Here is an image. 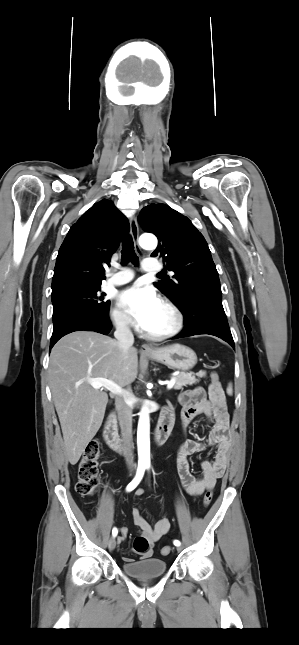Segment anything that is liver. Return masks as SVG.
I'll return each instance as SVG.
<instances>
[{"mask_svg":"<svg viewBox=\"0 0 299 645\" xmlns=\"http://www.w3.org/2000/svg\"><path fill=\"white\" fill-rule=\"evenodd\" d=\"M48 372L66 456L75 465L99 430L108 403L107 393L88 381L105 378L120 387L132 383L138 374L137 350L131 347L123 353L116 340L77 331L52 348Z\"/></svg>","mask_w":299,"mask_h":645,"instance_id":"obj_1","label":"liver"}]
</instances>
